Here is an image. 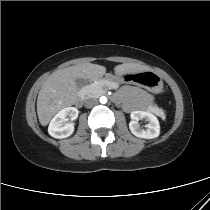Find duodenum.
Returning <instances> with one entry per match:
<instances>
[{
    "instance_id": "obj_1",
    "label": "duodenum",
    "mask_w": 210,
    "mask_h": 210,
    "mask_svg": "<svg viewBox=\"0 0 210 210\" xmlns=\"http://www.w3.org/2000/svg\"><path fill=\"white\" fill-rule=\"evenodd\" d=\"M83 100H84V91H80L79 95H78V98H77V101H76V106L81 107L82 104H83Z\"/></svg>"
}]
</instances>
